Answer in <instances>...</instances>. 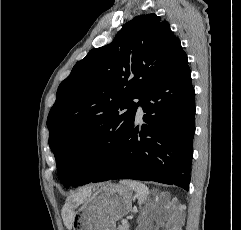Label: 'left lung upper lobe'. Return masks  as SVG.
<instances>
[{
	"mask_svg": "<svg viewBox=\"0 0 241 230\" xmlns=\"http://www.w3.org/2000/svg\"><path fill=\"white\" fill-rule=\"evenodd\" d=\"M156 14L126 23L109 45L92 49L61 82L47 127L58 177L68 187L75 163L99 141L114 143L131 126L139 100L182 54Z\"/></svg>",
	"mask_w": 241,
	"mask_h": 230,
	"instance_id": "left-lung-upper-lobe-1",
	"label": "left lung upper lobe"
}]
</instances>
